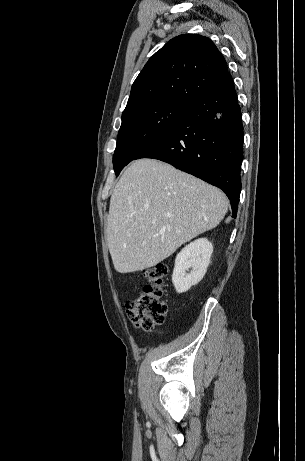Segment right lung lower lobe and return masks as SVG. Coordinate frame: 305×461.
Wrapping results in <instances>:
<instances>
[{"instance_id": "1", "label": "right lung lower lobe", "mask_w": 305, "mask_h": 461, "mask_svg": "<svg viewBox=\"0 0 305 461\" xmlns=\"http://www.w3.org/2000/svg\"><path fill=\"white\" fill-rule=\"evenodd\" d=\"M243 125L231 79L195 100L161 139L139 158L167 162L222 189L236 218L241 191Z\"/></svg>"}]
</instances>
